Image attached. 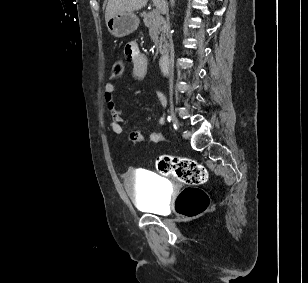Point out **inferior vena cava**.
<instances>
[{"instance_id": "1", "label": "inferior vena cava", "mask_w": 308, "mask_h": 283, "mask_svg": "<svg viewBox=\"0 0 308 283\" xmlns=\"http://www.w3.org/2000/svg\"><path fill=\"white\" fill-rule=\"evenodd\" d=\"M163 12L165 13V14H167L168 15V6H167V4L166 3H164V6H163ZM172 26V25H171ZM170 29H172V28H170ZM172 31V30H171ZM170 33H173V32H170ZM169 45H170V55H171V60H172V56H173V51H174V47H173V45H175V38H174V34H169ZM172 68V67H171ZM169 82H170V84H172V82H173V74L171 73V75L169 76Z\"/></svg>"}]
</instances>
